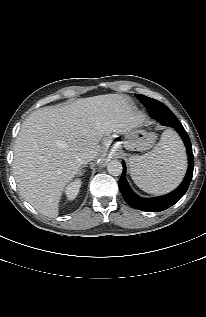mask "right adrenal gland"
<instances>
[{
    "label": "right adrenal gland",
    "mask_w": 206,
    "mask_h": 317,
    "mask_svg": "<svg viewBox=\"0 0 206 317\" xmlns=\"http://www.w3.org/2000/svg\"><path fill=\"white\" fill-rule=\"evenodd\" d=\"M84 167H86V165H83V166L80 167V169H79V171L77 173L79 177L83 175V168Z\"/></svg>",
    "instance_id": "right-adrenal-gland-1"
}]
</instances>
